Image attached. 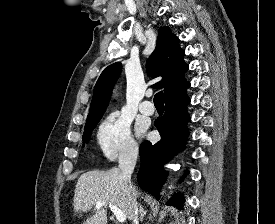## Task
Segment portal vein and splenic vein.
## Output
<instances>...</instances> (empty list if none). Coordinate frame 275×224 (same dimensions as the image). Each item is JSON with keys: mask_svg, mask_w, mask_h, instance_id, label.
Returning <instances> with one entry per match:
<instances>
[{"mask_svg": "<svg viewBox=\"0 0 275 224\" xmlns=\"http://www.w3.org/2000/svg\"><path fill=\"white\" fill-rule=\"evenodd\" d=\"M104 205H106V206H108L110 208V210L113 212V214L115 215V217H116V219H117L118 222L124 223L126 221V216L116 206H114L112 204H105V202H101V201H97L96 202V207L97 208H100V207H102Z\"/></svg>", "mask_w": 275, "mask_h": 224, "instance_id": "1", "label": "portal vein and splenic vein"}]
</instances>
